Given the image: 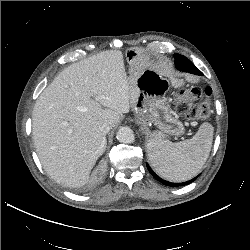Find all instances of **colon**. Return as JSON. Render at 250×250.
<instances>
[{
    "instance_id": "colon-1",
    "label": "colon",
    "mask_w": 250,
    "mask_h": 250,
    "mask_svg": "<svg viewBox=\"0 0 250 250\" xmlns=\"http://www.w3.org/2000/svg\"><path fill=\"white\" fill-rule=\"evenodd\" d=\"M210 90L191 88L180 91L175 96V105L179 112L188 119L197 120L206 118L210 114Z\"/></svg>"
}]
</instances>
